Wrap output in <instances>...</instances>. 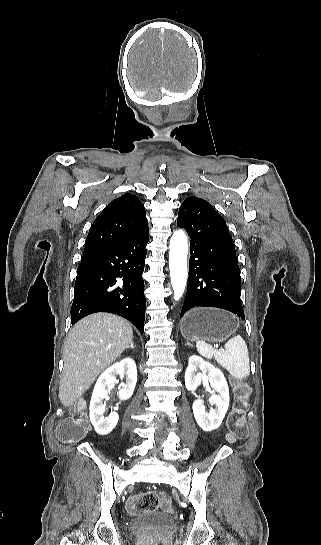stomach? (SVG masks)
Returning <instances> with one entry per match:
<instances>
[{"label": "stomach", "mask_w": 321, "mask_h": 545, "mask_svg": "<svg viewBox=\"0 0 321 545\" xmlns=\"http://www.w3.org/2000/svg\"><path fill=\"white\" fill-rule=\"evenodd\" d=\"M239 321L231 313L221 309H192L184 315L180 331L188 341L206 339L212 343H221L237 331Z\"/></svg>", "instance_id": "obj_1"}]
</instances>
